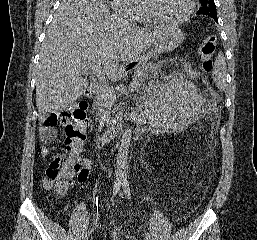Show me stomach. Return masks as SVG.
I'll return each instance as SVG.
<instances>
[{
  "label": "stomach",
  "instance_id": "1",
  "mask_svg": "<svg viewBox=\"0 0 257 240\" xmlns=\"http://www.w3.org/2000/svg\"><path fill=\"white\" fill-rule=\"evenodd\" d=\"M184 40V33L176 26H166L162 36L155 42L153 48L141 58L142 62L152 56L176 49Z\"/></svg>",
  "mask_w": 257,
  "mask_h": 240
}]
</instances>
